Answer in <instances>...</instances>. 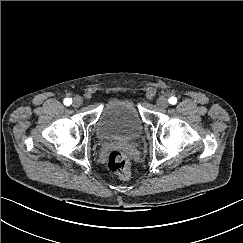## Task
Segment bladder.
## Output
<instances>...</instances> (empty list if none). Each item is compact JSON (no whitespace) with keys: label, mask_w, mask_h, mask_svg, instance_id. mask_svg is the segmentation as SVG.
<instances>
[{"label":"bladder","mask_w":243,"mask_h":243,"mask_svg":"<svg viewBox=\"0 0 243 243\" xmlns=\"http://www.w3.org/2000/svg\"><path fill=\"white\" fill-rule=\"evenodd\" d=\"M101 140L130 142L143 132V122L135 103L130 99L113 98L102 107L95 124Z\"/></svg>","instance_id":"obj_1"}]
</instances>
